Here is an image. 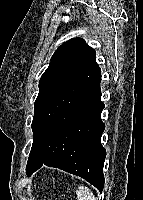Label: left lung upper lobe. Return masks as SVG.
Here are the masks:
<instances>
[{"instance_id": "1", "label": "left lung upper lobe", "mask_w": 143, "mask_h": 200, "mask_svg": "<svg viewBox=\"0 0 143 200\" xmlns=\"http://www.w3.org/2000/svg\"><path fill=\"white\" fill-rule=\"evenodd\" d=\"M95 55V50L82 38L71 39L55 51L49 67L39 81V94L34 105L33 122L41 109L69 85Z\"/></svg>"}]
</instances>
